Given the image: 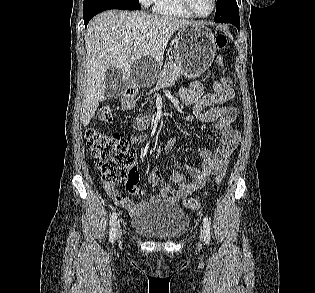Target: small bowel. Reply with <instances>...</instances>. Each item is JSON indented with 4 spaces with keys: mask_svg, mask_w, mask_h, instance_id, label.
Segmentation results:
<instances>
[{
    "mask_svg": "<svg viewBox=\"0 0 315 293\" xmlns=\"http://www.w3.org/2000/svg\"><path fill=\"white\" fill-rule=\"evenodd\" d=\"M221 86L224 85H216L213 81L212 91L204 93L201 82L195 80L180 90V97L183 102L192 105L194 117L203 123L214 124L219 145L213 151L206 148L199 150L202 159L200 168L186 166L190 181H187L185 176L177 170L171 172L170 180L177 187L176 189L167 183L159 168L154 169L149 175L148 184L152 189L160 188V190L150 199V202L177 203L203 188L211 176L226 168L233 152L240 143L241 137L239 132L233 128V123L237 118L235 108L224 105L233 98L234 94H226L221 89H216L217 87L221 88ZM192 119L191 116L185 118L187 122L192 121ZM146 140L147 137L144 134H134L129 138L133 145L144 143ZM176 141L177 136H171L164 145V152H169ZM104 190L114 204L128 210L133 215L149 204V201L146 200L134 203L130 198L121 196L111 184L104 183ZM143 195H146V192H143Z\"/></svg>",
    "mask_w": 315,
    "mask_h": 293,
    "instance_id": "c3829d8e",
    "label": "small bowel"
}]
</instances>
